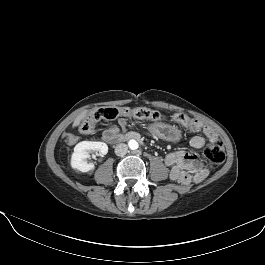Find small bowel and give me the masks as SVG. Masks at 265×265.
<instances>
[{
	"label": "small bowel",
	"instance_id": "obj_1",
	"mask_svg": "<svg viewBox=\"0 0 265 265\" xmlns=\"http://www.w3.org/2000/svg\"><path fill=\"white\" fill-rule=\"evenodd\" d=\"M128 120L134 121L135 118L131 116H119L117 119L123 131L127 130ZM193 126H188L192 132H200L203 136H195L190 140V145L195 150H201L205 141H214L218 139L217 133L202 122L192 119ZM120 129L113 123L108 124L102 131V138L109 142L115 143L121 138ZM165 164L170 169V178L181 184L200 183L206 179L209 170L198 156L192 152L187 151H174L168 153L165 157Z\"/></svg>",
	"mask_w": 265,
	"mask_h": 265
}]
</instances>
